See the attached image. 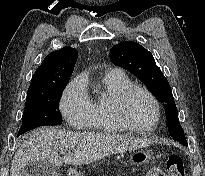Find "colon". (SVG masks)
<instances>
[{"mask_svg":"<svg viewBox=\"0 0 205 176\" xmlns=\"http://www.w3.org/2000/svg\"><path fill=\"white\" fill-rule=\"evenodd\" d=\"M167 176H185L184 165L181 158L176 154H171L166 160ZM69 176H79L77 171L69 172ZM151 176H166L158 169L151 171Z\"/></svg>","mask_w":205,"mask_h":176,"instance_id":"colon-1","label":"colon"}]
</instances>
